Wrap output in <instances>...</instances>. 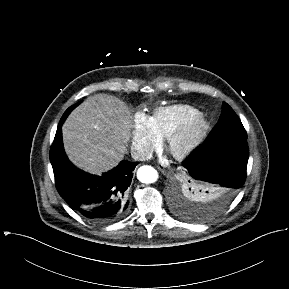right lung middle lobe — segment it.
Returning <instances> with one entry per match:
<instances>
[{"label": "right lung middle lobe", "mask_w": 289, "mask_h": 289, "mask_svg": "<svg viewBox=\"0 0 289 289\" xmlns=\"http://www.w3.org/2000/svg\"><path fill=\"white\" fill-rule=\"evenodd\" d=\"M78 104H79V103H77V104L69 107V108L65 111V113L63 114L61 120H62V119L64 120V119L68 116V114H69Z\"/></svg>", "instance_id": "obj_1"}]
</instances>
